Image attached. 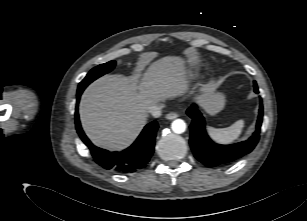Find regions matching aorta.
I'll use <instances>...</instances> for the list:
<instances>
[{
    "label": "aorta",
    "instance_id": "obj_1",
    "mask_svg": "<svg viewBox=\"0 0 307 221\" xmlns=\"http://www.w3.org/2000/svg\"><path fill=\"white\" fill-rule=\"evenodd\" d=\"M171 128L173 132L181 134L186 130V123L182 119H176L172 122Z\"/></svg>",
    "mask_w": 307,
    "mask_h": 221
}]
</instances>
